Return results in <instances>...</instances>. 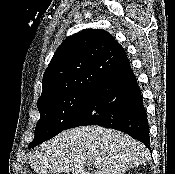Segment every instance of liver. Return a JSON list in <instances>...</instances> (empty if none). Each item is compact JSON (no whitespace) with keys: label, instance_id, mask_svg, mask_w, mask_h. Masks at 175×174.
Returning <instances> with one entry per match:
<instances>
[{"label":"liver","instance_id":"1","mask_svg":"<svg viewBox=\"0 0 175 174\" xmlns=\"http://www.w3.org/2000/svg\"><path fill=\"white\" fill-rule=\"evenodd\" d=\"M149 156L148 149L129 135L92 125L63 131L41 144L29 164L38 174H124ZM87 161L95 165L93 173L85 169Z\"/></svg>","mask_w":175,"mask_h":174}]
</instances>
